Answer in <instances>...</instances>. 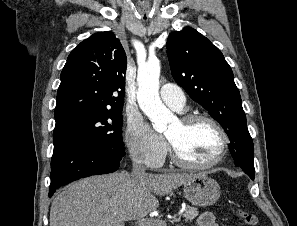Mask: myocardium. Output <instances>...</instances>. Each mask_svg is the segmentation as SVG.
Here are the masks:
<instances>
[{"label":"myocardium","instance_id":"1","mask_svg":"<svg viewBox=\"0 0 297 226\" xmlns=\"http://www.w3.org/2000/svg\"><path fill=\"white\" fill-rule=\"evenodd\" d=\"M179 121L181 122L182 125H185V126L190 125L192 123L200 122V121L208 122L209 124L214 126V128L219 132L222 138V143H221V147L218 152V155L212 161L205 164H197L186 160L180 154V152L178 151L174 143L167 138L169 149H170L171 160L175 165L181 168L190 169V170H206V169L213 168L222 162V160L226 155L230 140L224 127L215 118L207 114L196 113V114L184 115L179 119Z\"/></svg>","mask_w":297,"mask_h":226}]
</instances>
